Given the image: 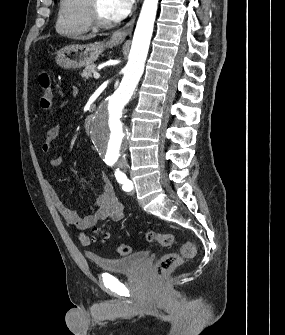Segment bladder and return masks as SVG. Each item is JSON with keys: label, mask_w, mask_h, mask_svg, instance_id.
<instances>
[{"label": "bladder", "mask_w": 285, "mask_h": 335, "mask_svg": "<svg viewBox=\"0 0 285 335\" xmlns=\"http://www.w3.org/2000/svg\"><path fill=\"white\" fill-rule=\"evenodd\" d=\"M148 257V250L144 248L126 256L92 258V265L102 268L106 273H133L145 264Z\"/></svg>", "instance_id": "bladder-1"}]
</instances>
